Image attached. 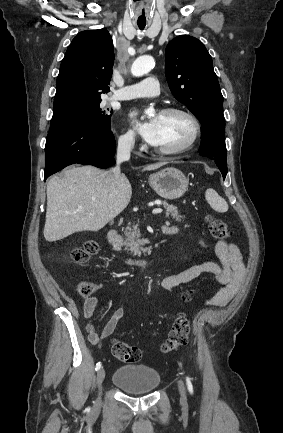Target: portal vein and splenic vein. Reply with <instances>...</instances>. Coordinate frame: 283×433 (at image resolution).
Returning a JSON list of instances; mask_svg holds the SVG:
<instances>
[{"label": "portal vein and splenic vein", "instance_id": "portal-vein-and-splenic-vein-1", "mask_svg": "<svg viewBox=\"0 0 283 433\" xmlns=\"http://www.w3.org/2000/svg\"><path fill=\"white\" fill-rule=\"evenodd\" d=\"M163 208H153L152 212H162Z\"/></svg>", "mask_w": 283, "mask_h": 433}]
</instances>
